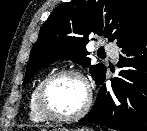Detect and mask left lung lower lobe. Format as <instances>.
<instances>
[{
	"label": "left lung lower lobe",
	"instance_id": "left-lung-lower-lobe-1",
	"mask_svg": "<svg viewBox=\"0 0 147 131\" xmlns=\"http://www.w3.org/2000/svg\"><path fill=\"white\" fill-rule=\"evenodd\" d=\"M119 47L117 66L123 70L110 90L100 88L93 108L79 121L118 131H147V28Z\"/></svg>",
	"mask_w": 147,
	"mask_h": 131
}]
</instances>
